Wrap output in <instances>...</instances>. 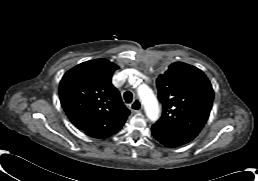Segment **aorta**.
Wrapping results in <instances>:
<instances>
[{"instance_id": "obj_1", "label": "aorta", "mask_w": 258, "mask_h": 181, "mask_svg": "<svg viewBox=\"0 0 258 181\" xmlns=\"http://www.w3.org/2000/svg\"><path fill=\"white\" fill-rule=\"evenodd\" d=\"M138 95L144 105L147 117L151 121H156L159 117V107L155 95L146 85H142L138 88Z\"/></svg>"}]
</instances>
